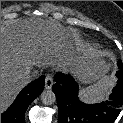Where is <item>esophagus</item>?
I'll use <instances>...</instances> for the list:
<instances>
[{"label":"esophagus","mask_w":123,"mask_h":123,"mask_svg":"<svg viewBox=\"0 0 123 123\" xmlns=\"http://www.w3.org/2000/svg\"><path fill=\"white\" fill-rule=\"evenodd\" d=\"M53 86V79L50 75H47L45 78V88L46 89H51Z\"/></svg>","instance_id":"obj_1"}]
</instances>
